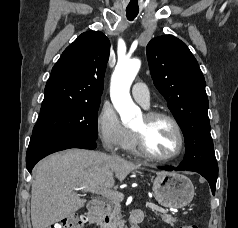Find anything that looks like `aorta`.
<instances>
[{"instance_id":"obj_1","label":"aorta","mask_w":238,"mask_h":228,"mask_svg":"<svg viewBox=\"0 0 238 228\" xmlns=\"http://www.w3.org/2000/svg\"><path fill=\"white\" fill-rule=\"evenodd\" d=\"M141 66L139 59L118 61L111 79L110 96L124 124L140 113L130 96V87Z\"/></svg>"}]
</instances>
